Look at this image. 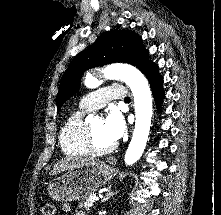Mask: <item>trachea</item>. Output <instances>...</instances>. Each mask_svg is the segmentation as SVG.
<instances>
[{
    "instance_id": "3493384b",
    "label": "trachea",
    "mask_w": 221,
    "mask_h": 215,
    "mask_svg": "<svg viewBox=\"0 0 221 215\" xmlns=\"http://www.w3.org/2000/svg\"><path fill=\"white\" fill-rule=\"evenodd\" d=\"M125 101H130V98H129V97H126V98H125Z\"/></svg>"
}]
</instances>
